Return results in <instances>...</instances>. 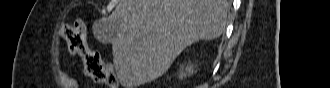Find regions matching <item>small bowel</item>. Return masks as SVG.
<instances>
[{"label":"small bowel","mask_w":330,"mask_h":88,"mask_svg":"<svg viewBox=\"0 0 330 88\" xmlns=\"http://www.w3.org/2000/svg\"><path fill=\"white\" fill-rule=\"evenodd\" d=\"M82 28L84 29V25L83 23H81ZM56 77L57 79H59V81H61L62 84L71 87L73 85V80L64 72L61 71H57L56 73Z\"/></svg>","instance_id":"obj_1"}]
</instances>
